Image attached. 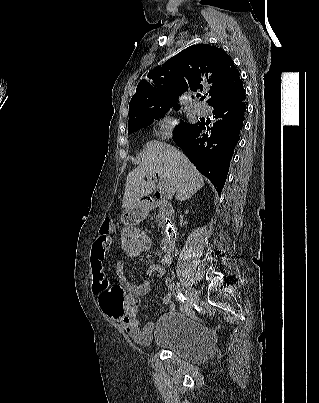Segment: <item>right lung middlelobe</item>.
Returning a JSON list of instances; mask_svg holds the SVG:
<instances>
[{
	"label": "right lung middle lobe",
	"mask_w": 319,
	"mask_h": 403,
	"mask_svg": "<svg viewBox=\"0 0 319 403\" xmlns=\"http://www.w3.org/2000/svg\"><path fill=\"white\" fill-rule=\"evenodd\" d=\"M171 107H173L175 110H178L180 108L179 105L169 104V105L151 109L147 113L142 115L141 117L128 121V133L129 134L133 133V132L141 129L142 127L151 125L155 119L164 117L165 114L170 110ZM190 125L191 124L183 122L179 128L176 127V131H174V132L176 133V132L183 131L186 128H188Z\"/></svg>",
	"instance_id": "right-lung-middle-lobe-1"
}]
</instances>
